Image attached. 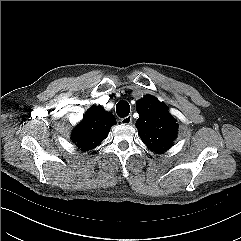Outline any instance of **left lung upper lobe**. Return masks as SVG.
Returning a JSON list of instances; mask_svg holds the SVG:
<instances>
[{
  "instance_id": "left-lung-upper-lobe-1",
  "label": "left lung upper lobe",
  "mask_w": 241,
  "mask_h": 241,
  "mask_svg": "<svg viewBox=\"0 0 241 241\" xmlns=\"http://www.w3.org/2000/svg\"><path fill=\"white\" fill-rule=\"evenodd\" d=\"M139 118L137 127L144 144L157 153L167 151L177 136L178 124L167 106L153 96H145L136 103Z\"/></svg>"
}]
</instances>
